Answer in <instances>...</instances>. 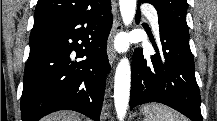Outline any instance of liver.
Instances as JSON below:
<instances>
[{
	"mask_svg": "<svg viewBox=\"0 0 217 121\" xmlns=\"http://www.w3.org/2000/svg\"><path fill=\"white\" fill-rule=\"evenodd\" d=\"M78 114L71 111H59L48 115L42 121H80Z\"/></svg>",
	"mask_w": 217,
	"mask_h": 121,
	"instance_id": "6515ba94",
	"label": "liver"
}]
</instances>
